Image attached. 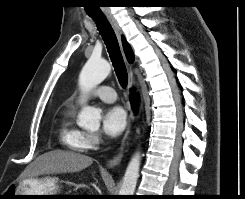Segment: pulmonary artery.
Instances as JSON below:
<instances>
[{"mask_svg":"<svg viewBox=\"0 0 245 199\" xmlns=\"http://www.w3.org/2000/svg\"><path fill=\"white\" fill-rule=\"evenodd\" d=\"M89 98H99L104 102H114L117 97L113 88L109 86H98L88 92L77 97L76 103L82 104Z\"/></svg>","mask_w":245,"mask_h":199,"instance_id":"e3ab8cb5","label":"pulmonary artery"}]
</instances>
